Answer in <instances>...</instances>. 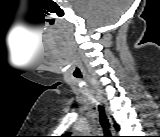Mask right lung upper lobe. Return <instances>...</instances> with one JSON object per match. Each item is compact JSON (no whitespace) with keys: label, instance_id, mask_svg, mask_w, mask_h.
I'll return each instance as SVG.
<instances>
[{"label":"right lung upper lobe","instance_id":"obj_1","mask_svg":"<svg viewBox=\"0 0 160 137\" xmlns=\"http://www.w3.org/2000/svg\"><path fill=\"white\" fill-rule=\"evenodd\" d=\"M115 128L116 130H119V126L117 124H115Z\"/></svg>","mask_w":160,"mask_h":137}]
</instances>
